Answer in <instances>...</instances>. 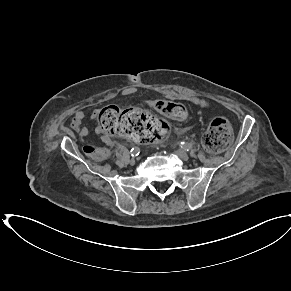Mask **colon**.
I'll use <instances>...</instances> for the list:
<instances>
[{
  "label": "colon",
  "mask_w": 291,
  "mask_h": 291,
  "mask_svg": "<svg viewBox=\"0 0 291 291\" xmlns=\"http://www.w3.org/2000/svg\"><path fill=\"white\" fill-rule=\"evenodd\" d=\"M151 106L165 117L184 120L187 118L186 108L166 99H155ZM100 129L112 134L147 143L160 138L167 130V123L150 112L139 108L120 109L115 105L104 107L98 114ZM232 127L225 117H217L211 121L204 136L203 144L212 153L225 150L232 140ZM84 152L94 158L102 159L106 151L100 147L87 145Z\"/></svg>",
  "instance_id": "obj_1"
}]
</instances>
